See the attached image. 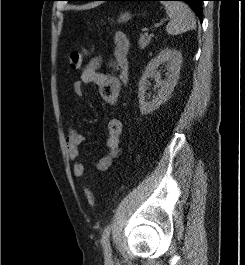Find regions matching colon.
<instances>
[{"label": "colon", "mask_w": 245, "mask_h": 265, "mask_svg": "<svg viewBox=\"0 0 245 265\" xmlns=\"http://www.w3.org/2000/svg\"><path fill=\"white\" fill-rule=\"evenodd\" d=\"M115 51L114 58L119 69V80L125 85L129 74V42L126 35L122 32H116L114 35ZM91 52V49H81L72 51L69 54V66L72 70H78L83 59ZM84 194L89 206H95V196L91 189L86 188Z\"/></svg>", "instance_id": "colon-1"}]
</instances>
